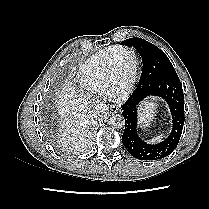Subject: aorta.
<instances>
[{
  "label": "aorta",
  "instance_id": "1",
  "mask_svg": "<svg viewBox=\"0 0 209 209\" xmlns=\"http://www.w3.org/2000/svg\"><path fill=\"white\" fill-rule=\"evenodd\" d=\"M109 124L115 129H121L125 125V119L122 115L116 114L110 118Z\"/></svg>",
  "mask_w": 209,
  "mask_h": 209
}]
</instances>
